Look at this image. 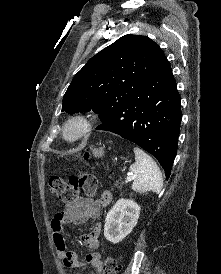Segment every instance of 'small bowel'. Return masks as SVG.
<instances>
[{
	"label": "small bowel",
	"mask_w": 221,
	"mask_h": 274,
	"mask_svg": "<svg viewBox=\"0 0 221 274\" xmlns=\"http://www.w3.org/2000/svg\"><path fill=\"white\" fill-rule=\"evenodd\" d=\"M112 201V193L104 190L99 199L77 198L70 202L62 211L56 213L51 221L53 231V240L57 255L62 259L64 265L68 268L83 269L89 268L88 274H100L102 270L101 254L96 250L99 247V236L102 231L101 223H97L91 232L83 234L80 239L85 247L92 250L87 254L86 262L80 261L76 252L67 250L64 225H80L90 219L98 218L102 208L106 207ZM76 274H82L81 271Z\"/></svg>",
	"instance_id": "1"
}]
</instances>
